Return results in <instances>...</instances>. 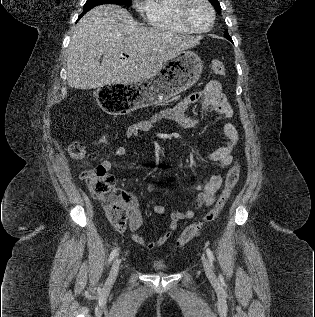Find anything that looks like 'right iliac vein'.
I'll return each instance as SVG.
<instances>
[{
    "label": "right iliac vein",
    "mask_w": 315,
    "mask_h": 317,
    "mask_svg": "<svg viewBox=\"0 0 315 317\" xmlns=\"http://www.w3.org/2000/svg\"><path fill=\"white\" fill-rule=\"evenodd\" d=\"M120 263H121V261L119 258H116L114 260L109 277H108V280H107L108 284H112L113 282H115L117 275H118V272H119Z\"/></svg>",
    "instance_id": "right-iliac-vein-1"
}]
</instances>
